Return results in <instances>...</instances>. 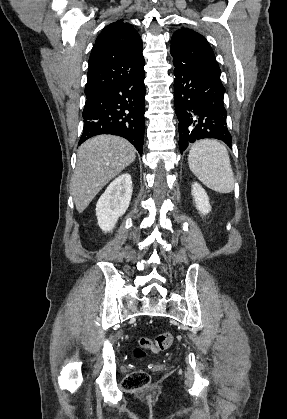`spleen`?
I'll return each instance as SVG.
<instances>
[{"label":"spleen","mask_w":287,"mask_h":419,"mask_svg":"<svg viewBox=\"0 0 287 419\" xmlns=\"http://www.w3.org/2000/svg\"><path fill=\"white\" fill-rule=\"evenodd\" d=\"M188 165L208 188L225 194L233 191L235 179L224 144L211 139L195 142L189 151Z\"/></svg>","instance_id":"spleen-1"}]
</instances>
